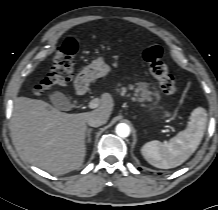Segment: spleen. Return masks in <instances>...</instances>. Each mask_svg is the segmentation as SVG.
<instances>
[{"label": "spleen", "mask_w": 218, "mask_h": 210, "mask_svg": "<svg viewBox=\"0 0 218 210\" xmlns=\"http://www.w3.org/2000/svg\"><path fill=\"white\" fill-rule=\"evenodd\" d=\"M207 113L202 107L194 109L186 129L168 143L150 141L142 147L145 160L161 169L175 168L184 163L199 146L206 129Z\"/></svg>", "instance_id": "obj_1"}]
</instances>
